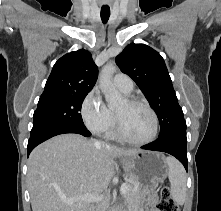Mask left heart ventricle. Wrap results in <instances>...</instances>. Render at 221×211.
<instances>
[{"label":"left heart ventricle","instance_id":"b2bd125f","mask_svg":"<svg viewBox=\"0 0 221 211\" xmlns=\"http://www.w3.org/2000/svg\"><path fill=\"white\" fill-rule=\"evenodd\" d=\"M124 132L131 139L145 140L153 132V119L149 111L140 105L129 104L124 100L116 109Z\"/></svg>","mask_w":221,"mask_h":211}]
</instances>
